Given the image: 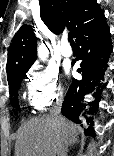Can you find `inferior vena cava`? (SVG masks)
<instances>
[{
  "label": "inferior vena cava",
  "instance_id": "obj_1",
  "mask_svg": "<svg viewBox=\"0 0 114 156\" xmlns=\"http://www.w3.org/2000/svg\"><path fill=\"white\" fill-rule=\"evenodd\" d=\"M63 99H64L63 93L60 92L57 95L56 102H55L54 106L50 110V116L52 118H54L55 120H60L61 119L60 112H61V106H62V103H63ZM67 144L68 143L65 142L61 146V149H60V152H59L58 156H66V147H67Z\"/></svg>",
  "mask_w": 114,
  "mask_h": 156
}]
</instances>
